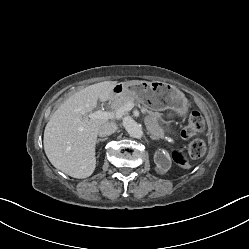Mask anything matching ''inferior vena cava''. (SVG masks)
I'll use <instances>...</instances> for the list:
<instances>
[{
	"label": "inferior vena cava",
	"instance_id": "obj_1",
	"mask_svg": "<svg viewBox=\"0 0 249 249\" xmlns=\"http://www.w3.org/2000/svg\"><path fill=\"white\" fill-rule=\"evenodd\" d=\"M117 130V124L112 121L103 123L98 129V135L100 137H106L113 134Z\"/></svg>",
	"mask_w": 249,
	"mask_h": 249
}]
</instances>
